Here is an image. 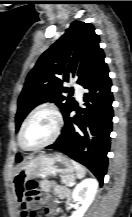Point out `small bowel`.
<instances>
[{"instance_id":"obj_1","label":"small bowel","mask_w":132,"mask_h":217,"mask_svg":"<svg viewBox=\"0 0 132 217\" xmlns=\"http://www.w3.org/2000/svg\"><path fill=\"white\" fill-rule=\"evenodd\" d=\"M41 188L44 192L47 194L43 196L39 202H33L29 203L25 200L23 192L18 190L17 193V199L19 202V205L21 207L20 217H28V214H31L29 212V207L37 208L39 203L43 204L45 206V211L47 214H52L55 210V204L51 196L48 194L50 192H54L55 195L63 200L66 203H69L71 200V193L70 190L67 187H64L62 185H59L58 183L51 181V180H42L41 181Z\"/></svg>"}]
</instances>
